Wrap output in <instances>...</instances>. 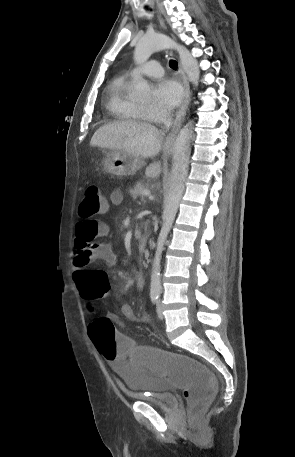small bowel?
<instances>
[{
  "mask_svg": "<svg viewBox=\"0 0 295 457\" xmlns=\"http://www.w3.org/2000/svg\"><path fill=\"white\" fill-rule=\"evenodd\" d=\"M122 201L123 193L120 190H115L110 194V203L113 206L120 205ZM108 233V225L101 220L84 219L76 225V254L72 258V278L81 295L83 288L87 286V271L90 270L88 267L91 264L97 261H103L109 266H114L118 263V258L112 250L111 245L106 242L96 241L97 238L105 237ZM81 249L86 251V253L79 252ZM82 259H84V263L80 264ZM135 279L138 288H142L144 286L142 276L136 273ZM121 313L127 319H133L135 317L133 308L128 303L122 304ZM112 319L116 323L121 324L118 319ZM129 341L133 340L130 338ZM110 361L112 362V360Z\"/></svg>",
  "mask_w": 295,
  "mask_h": 457,
  "instance_id": "c3829d8e",
  "label": "small bowel"
}]
</instances>
